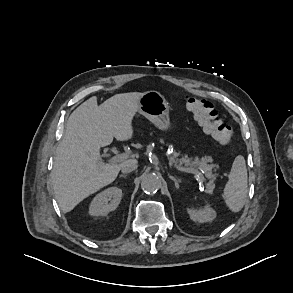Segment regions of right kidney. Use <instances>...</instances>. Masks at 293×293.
I'll list each match as a JSON object with an SVG mask.
<instances>
[{"mask_svg": "<svg viewBox=\"0 0 293 293\" xmlns=\"http://www.w3.org/2000/svg\"><path fill=\"white\" fill-rule=\"evenodd\" d=\"M121 197L122 190L117 187H110L100 192L92 200L89 214L92 216H106L118 207Z\"/></svg>", "mask_w": 293, "mask_h": 293, "instance_id": "obj_1", "label": "right kidney"}]
</instances>
